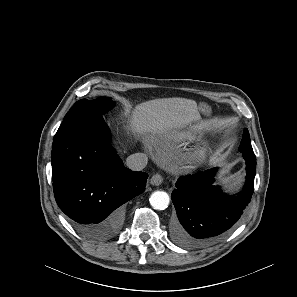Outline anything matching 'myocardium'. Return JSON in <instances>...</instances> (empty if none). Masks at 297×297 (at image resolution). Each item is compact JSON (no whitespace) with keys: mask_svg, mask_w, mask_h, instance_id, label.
<instances>
[{"mask_svg":"<svg viewBox=\"0 0 297 297\" xmlns=\"http://www.w3.org/2000/svg\"><path fill=\"white\" fill-rule=\"evenodd\" d=\"M206 156V148H200L190 154L189 160L192 163H196L204 159Z\"/></svg>","mask_w":297,"mask_h":297,"instance_id":"myocardium-1","label":"myocardium"}]
</instances>
